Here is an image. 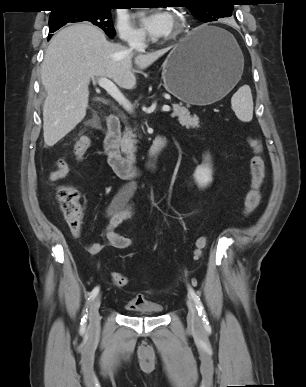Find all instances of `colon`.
Here are the masks:
<instances>
[{
  "label": "colon",
  "instance_id": "5ec220e1",
  "mask_svg": "<svg viewBox=\"0 0 306 387\" xmlns=\"http://www.w3.org/2000/svg\"><path fill=\"white\" fill-rule=\"evenodd\" d=\"M248 144L252 149L253 155L250 160L251 187L246 195L244 203V216L247 217L255 211L260 202V189L265 179V161L263 157V147L259 139L250 137ZM91 146V139L87 136L81 137L74 145V155L77 159H82ZM57 201L60 210L73 234H78L83 224V212L79 202V192L72 186L60 185L56 192ZM208 240L206 237H200L195 244V257L199 259ZM111 281L119 286L125 287L129 284L127 276L113 272L110 275Z\"/></svg>",
  "mask_w": 306,
  "mask_h": 387
}]
</instances>
